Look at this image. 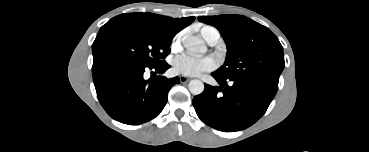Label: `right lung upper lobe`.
I'll return each mask as SVG.
<instances>
[{
  "instance_id": "cb5924a9",
  "label": "right lung upper lobe",
  "mask_w": 369,
  "mask_h": 152,
  "mask_svg": "<svg viewBox=\"0 0 369 152\" xmlns=\"http://www.w3.org/2000/svg\"><path fill=\"white\" fill-rule=\"evenodd\" d=\"M122 16L133 22L166 35L175 36L180 30L190 25L195 17L171 18L152 13H125Z\"/></svg>"
}]
</instances>
